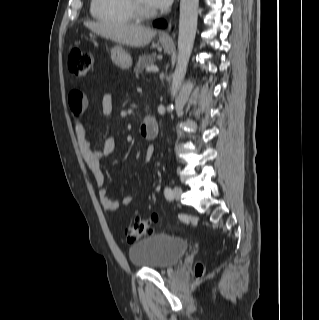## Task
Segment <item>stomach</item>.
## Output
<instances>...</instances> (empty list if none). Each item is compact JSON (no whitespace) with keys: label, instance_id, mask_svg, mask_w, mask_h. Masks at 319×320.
<instances>
[{"label":"stomach","instance_id":"stomach-1","mask_svg":"<svg viewBox=\"0 0 319 320\" xmlns=\"http://www.w3.org/2000/svg\"><path fill=\"white\" fill-rule=\"evenodd\" d=\"M166 53H170L171 45L164 38L159 39ZM111 59L115 65L121 69H129L132 66V58L130 54L123 49L121 45H116L110 49Z\"/></svg>","mask_w":319,"mask_h":320}]
</instances>
